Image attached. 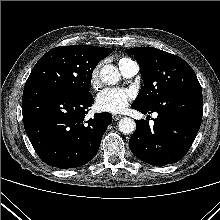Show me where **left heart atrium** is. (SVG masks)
<instances>
[{
	"label": "left heart atrium",
	"mask_w": 220,
	"mask_h": 220,
	"mask_svg": "<svg viewBox=\"0 0 220 220\" xmlns=\"http://www.w3.org/2000/svg\"><path fill=\"white\" fill-rule=\"evenodd\" d=\"M134 98V93L126 88H106L96 97V107L103 112H122Z\"/></svg>",
	"instance_id": "obj_1"
}]
</instances>
